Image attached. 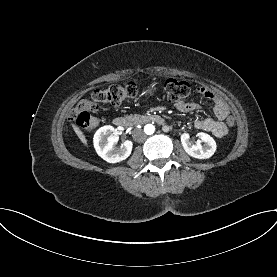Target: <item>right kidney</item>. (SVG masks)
<instances>
[{
	"label": "right kidney",
	"mask_w": 277,
	"mask_h": 277,
	"mask_svg": "<svg viewBox=\"0 0 277 277\" xmlns=\"http://www.w3.org/2000/svg\"><path fill=\"white\" fill-rule=\"evenodd\" d=\"M119 140L117 130L110 125L98 129L93 142L97 154L109 163H117L125 160L131 154L133 143L125 141L120 148L115 147Z\"/></svg>",
	"instance_id": "1"
}]
</instances>
